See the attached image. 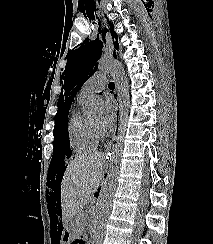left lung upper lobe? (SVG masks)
<instances>
[{
    "label": "left lung upper lobe",
    "instance_id": "left-lung-upper-lobe-1",
    "mask_svg": "<svg viewBox=\"0 0 213 244\" xmlns=\"http://www.w3.org/2000/svg\"><path fill=\"white\" fill-rule=\"evenodd\" d=\"M110 30L112 37H114L113 44L115 49L113 56L116 58V51L119 47L117 35L113 28ZM105 31L106 29H104V33ZM99 32L101 33V30ZM105 42L104 35L101 38L98 35L94 41L86 39L80 47L68 53L66 68L62 75L64 84L62 85V91L57 104L56 125L67 122L66 115L69 112L71 103L84 82L95 73L98 64L96 62L102 55V48Z\"/></svg>",
    "mask_w": 213,
    "mask_h": 244
}]
</instances>
